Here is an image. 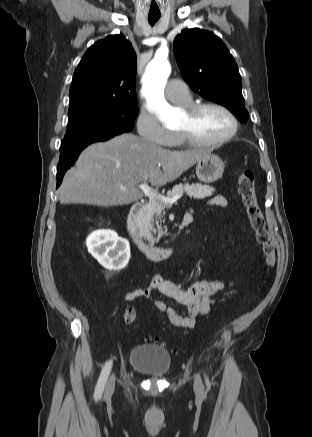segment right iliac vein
<instances>
[{
    "mask_svg": "<svg viewBox=\"0 0 312 437\" xmlns=\"http://www.w3.org/2000/svg\"><path fill=\"white\" fill-rule=\"evenodd\" d=\"M114 387H115V377L111 376V378L108 380L106 384L105 393H104L105 398H109L112 395L114 391Z\"/></svg>",
    "mask_w": 312,
    "mask_h": 437,
    "instance_id": "63e3f726",
    "label": "right iliac vein"
}]
</instances>
